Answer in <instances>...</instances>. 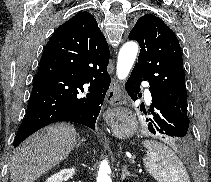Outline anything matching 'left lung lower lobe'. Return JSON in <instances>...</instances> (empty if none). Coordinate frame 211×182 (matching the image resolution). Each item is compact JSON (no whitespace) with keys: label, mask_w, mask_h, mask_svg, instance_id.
Instances as JSON below:
<instances>
[{"label":"left lung lower lobe","mask_w":211,"mask_h":182,"mask_svg":"<svg viewBox=\"0 0 211 182\" xmlns=\"http://www.w3.org/2000/svg\"><path fill=\"white\" fill-rule=\"evenodd\" d=\"M145 80L136 70H132L131 76L126 83V91L135 101L141 97L140 84ZM152 104L149 112L153 117L147 118L148 129L154 134H163L171 137H178V142L182 146L189 144L188 128L189 118L174 104L158 95L151 87Z\"/></svg>","instance_id":"0a47b994"}]
</instances>
